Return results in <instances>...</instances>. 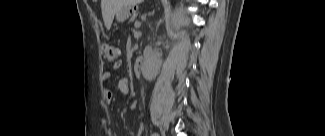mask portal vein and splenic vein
<instances>
[{"label": "portal vein and splenic vein", "instance_id": "portal-vein-and-splenic-vein-1", "mask_svg": "<svg viewBox=\"0 0 325 136\" xmlns=\"http://www.w3.org/2000/svg\"><path fill=\"white\" fill-rule=\"evenodd\" d=\"M135 26H140V22L136 21Z\"/></svg>", "mask_w": 325, "mask_h": 136}]
</instances>
